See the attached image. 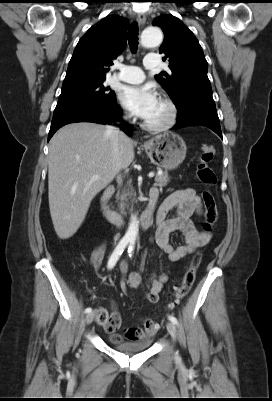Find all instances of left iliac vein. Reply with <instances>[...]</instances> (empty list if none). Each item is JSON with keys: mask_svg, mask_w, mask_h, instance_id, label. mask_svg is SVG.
I'll return each mask as SVG.
<instances>
[{"mask_svg": "<svg viewBox=\"0 0 272 401\" xmlns=\"http://www.w3.org/2000/svg\"><path fill=\"white\" fill-rule=\"evenodd\" d=\"M167 330L170 333V335L175 338L176 337V326L173 322H167L166 324Z\"/></svg>", "mask_w": 272, "mask_h": 401, "instance_id": "obj_1", "label": "left iliac vein"}]
</instances>
